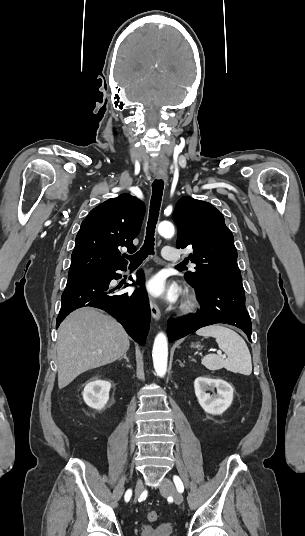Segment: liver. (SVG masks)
Here are the masks:
<instances>
[{
  "instance_id": "6515ba94",
  "label": "liver",
  "mask_w": 305,
  "mask_h": 536,
  "mask_svg": "<svg viewBox=\"0 0 305 536\" xmlns=\"http://www.w3.org/2000/svg\"><path fill=\"white\" fill-rule=\"evenodd\" d=\"M129 338L122 326L95 308L69 314L58 330V388L71 384L79 374L111 364L125 356Z\"/></svg>"
}]
</instances>
